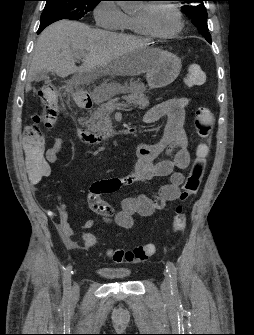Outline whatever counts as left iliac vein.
<instances>
[{"label":"left iliac vein","instance_id":"1","mask_svg":"<svg viewBox=\"0 0 254 335\" xmlns=\"http://www.w3.org/2000/svg\"><path fill=\"white\" fill-rule=\"evenodd\" d=\"M161 291L163 295H169L171 292V280L169 275H165V278L161 284Z\"/></svg>","mask_w":254,"mask_h":335}]
</instances>
